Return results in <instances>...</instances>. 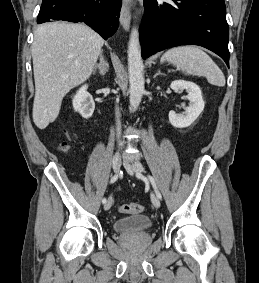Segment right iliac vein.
Wrapping results in <instances>:
<instances>
[{"label":"right iliac vein","instance_id":"63e3f726","mask_svg":"<svg viewBox=\"0 0 259 283\" xmlns=\"http://www.w3.org/2000/svg\"><path fill=\"white\" fill-rule=\"evenodd\" d=\"M112 166H113V169L116 173L120 170L121 156L119 154H115L113 161H112ZM112 203H113V199H112V197H110L104 205V210H106V211L109 210L112 206Z\"/></svg>","mask_w":259,"mask_h":283}]
</instances>
